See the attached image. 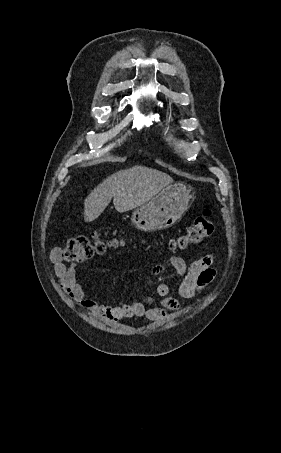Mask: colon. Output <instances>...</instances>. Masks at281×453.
<instances>
[{"instance_id":"1","label":"colon","mask_w":281,"mask_h":453,"mask_svg":"<svg viewBox=\"0 0 281 453\" xmlns=\"http://www.w3.org/2000/svg\"><path fill=\"white\" fill-rule=\"evenodd\" d=\"M214 221L210 216V212L199 216L194 224L185 231H174L172 249L185 251L189 247L199 245L213 231ZM120 230L126 228L121 227ZM101 228L95 229L91 234H79L70 237L67 240L66 247L63 251V259L67 262H84L95 255H101L105 252V247L97 239Z\"/></svg>"}]
</instances>
